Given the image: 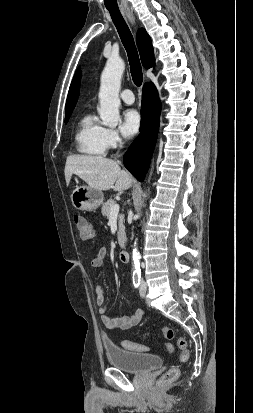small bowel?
I'll return each mask as SVG.
<instances>
[{
	"instance_id": "small-bowel-1",
	"label": "small bowel",
	"mask_w": 253,
	"mask_h": 413,
	"mask_svg": "<svg viewBox=\"0 0 253 413\" xmlns=\"http://www.w3.org/2000/svg\"><path fill=\"white\" fill-rule=\"evenodd\" d=\"M106 255L105 248L100 249L95 257L91 261V266L95 269H99L104 265V258ZM95 301L99 307V313L101 320L105 327L109 329H129L136 326L142 315V310L135 311L130 316L112 317L108 314V307L105 305L104 290L102 287L97 286L94 290Z\"/></svg>"
}]
</instances>
